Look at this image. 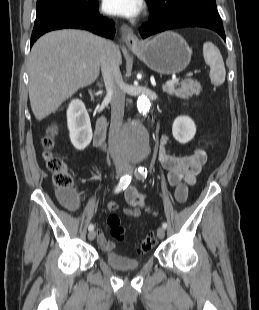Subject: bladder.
Returning <instances> with one entry per match:
<instances>
[{"mask_svg": "<svg viewBox=\"0 0 259 310\" xmlns=\"http://www.w3.org/2000/svg\"><path fill=\"white\" fill-rule=\"evenodd\" d=\"M105 261L113 268L119 270L135 269L141 266V261L125 256L115 251H109L105 254Z\"/></svg>", "mask_w": 259, "mask_h": 310, "instance_id": "bladder-1", "label": "bladder"}]
</instances>
